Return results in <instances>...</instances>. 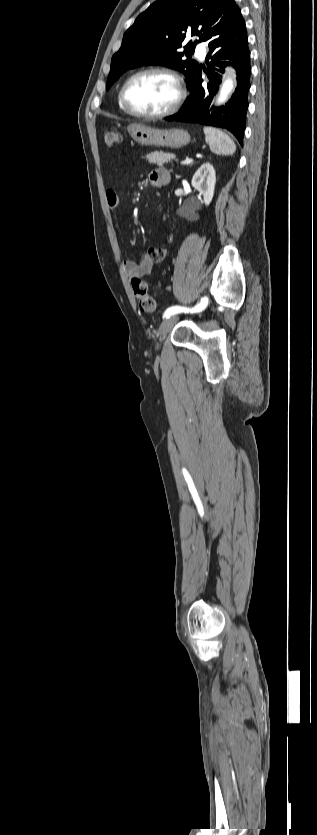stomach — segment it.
Wrapping results in <instances>:
<instances>
[{
  "instance_id": "obj_1",
  "label": "stomach",
  "mask_w": 317,
  "mask_h": 835,
  "mask_svg": "<svg viewBox=\"0 0 317 835\" xmlns=\"http://www.w3.org/2000/svg\"><path fill=\"white\" fill-rule=\"evenodd\" d=\"M131 138L140 145L181 148L190 143V134L180 128L158 129L144 124H130L127 127Z\"/></svg>"
}]
</instances>
